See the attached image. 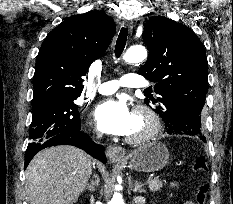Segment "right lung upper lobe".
I'll return each mask as SVG.
<instances>
[{"mask_svg":"<svg viewBox=\"0 0 233 204\" xmlns=\"http://www.w3.org/2000/svg\"><path fill=\"white\" fill-rule=\"evenodd\" d=\"M114 33V21L99 11L70 17L54 28L37 56L32 105L80 96L81 77L104 54Z\"/></svg>","mask_w":233,"mask_h":204,"instance_id":"cb5924a9","label":"right lung upper lobe"}]
</instances>
